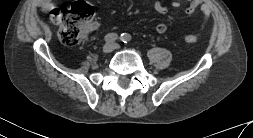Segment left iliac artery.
<instances>
[{
  "mask_svg": "<svg viewBox=\"0 0 253 138\" xmlns=\"http://www.w3.org/2000/svg\"><path fill=\"white\" fill-rule=\"evenodd\" d=\"M121 41H123L124 43H128L131 40V36L129 34H121L120 37Z\"/></svg>",
  "mask_w": 253,
  "mask_h": 138,
  "instance_id": "left-iliac-artery-1",
  "label": "left iliac artery"
}]
</instances>
